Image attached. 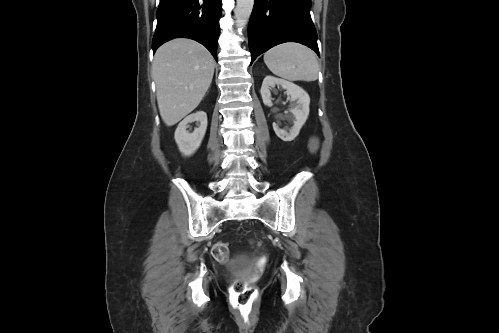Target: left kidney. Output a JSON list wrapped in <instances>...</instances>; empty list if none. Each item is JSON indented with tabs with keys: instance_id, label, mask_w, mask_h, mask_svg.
<instances>
[{
	"instance_id": "5707ae66",
	"label": "left kidney",
	"mask_w": 499,
	"mask_h": 333,
	"mask_svg": "<svg viewBox=\"0 0 499 333\" xmlns=\"http://www.w3.org/2000/svg\"><path fill=\"white\" fill-rule=\"evenodd\" d=\"M275 85L281 86L285 89L287 95H290L291 101L295 103L292 104L290 109L294 119L293 126L289 129V131L287 129H281L275 122L273 123V129L276 135L283 141H292L297 137L300 129L308 118L310 97L301 87L292 82L273 76H266L263 80L260 93L263 103L267 106L272 105L270 90L274 88Z\"/></svg>"
}]
</instances>
